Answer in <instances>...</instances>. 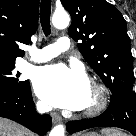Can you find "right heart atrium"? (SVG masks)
<instances>
[{
	"instance_id": "d8ad5b80",
	"label": "right heart atrium",
	"mask_w": 136,
	"mask_h": 136,
	"mask_svg": "<svg viewBox=\"0 0 136 136\" xmlns=\"http://www.w3.org/2000/svg\"><path fill=\"white\" fill-rule=\"evenodd\" d=\"M37 106H38V108L41 109V110H42V109H45V106H44V104H42V103H38Z\"/></svg>"
}]
</instances>
